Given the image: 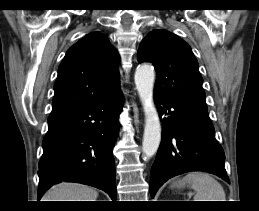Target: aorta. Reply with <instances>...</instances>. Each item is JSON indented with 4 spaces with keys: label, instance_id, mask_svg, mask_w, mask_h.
I'll use <instances>...</instances> for the list:
<instances>
[{
    "label": "aorta",
    "instance_id": "obj_1",
    "mask_svg": "<svg viewBox=\"0 0 259 211\" xmlns=\"http://www.w3.org/2000/svg\"><path fill=\"white\" fill-rule=\"evenodd\" d=\"M134 79L145 115L142 149L145 157L151 158L157 152L161 141V123L153 99L154 68L148 64L139 65Z\"/></svg>",
    "mask_w": 259,
    "mask_h": 211
}]
</instances>
